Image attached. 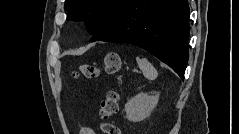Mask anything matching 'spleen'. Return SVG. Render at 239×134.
Listing matches in <instances>:
<instances>
[{
  "mask_svg": "<svg viewBox=\"0 0 239 134\" xmlns=\"http://www.w3.org/2000/svg\"><path fill=\"white\" fill-rule=\"evenodd\" d=\"M139 68L142 70L145 78L149 80H154L158 76L157 70L146 58H136Z\"/></svg>",
  "mask_w": 239,
  "mask_h": 134,
  "instance_id": "spleen-1",
  "label": "spleen"
}]
</instances>
